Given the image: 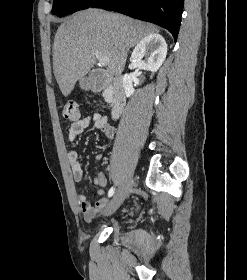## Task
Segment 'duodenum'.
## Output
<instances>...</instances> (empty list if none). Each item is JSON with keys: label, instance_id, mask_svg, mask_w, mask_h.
Segmentation results:
<instances>
[{"label": "duodenum", "instance_id": "obj_1", "mask_svg": "<svg viewBox=\"0 0 247 280\" xmlns=\"http://www.w3.org/2000/svg\"><path fill=\"white\" fill-rule=\"evenodd\" d=\"M88 86L92 91L109 88L112 116L118 118L121 115L126 105V93L122 77H111L103 71L95 70L91 74Z\"/></svg>", "mask_w": 247, "mask_h": 280}]
</instances>
